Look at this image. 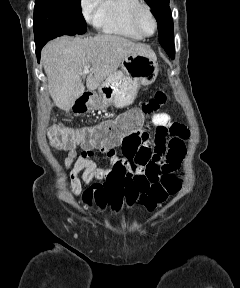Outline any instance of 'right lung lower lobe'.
<instances>
[{
  "label": "right lung lower lobe",
  "mask_w": 240,
  "mask_h": 288,
  "mask_svg": "<svg viewBox=\"0 0 240 288\" xmlns=\"http://www.w3.org/2000/svg\"><path fill=\"white\" fill-rule=\"evenodd\" d=\"M45 44H46V43L36 46V55H37L38 61L40 60L41 49L43 48V46H44Z\"/></svg>",
  "instance_id": "right-lung-lower-lobe-1"
}]
</instances>
